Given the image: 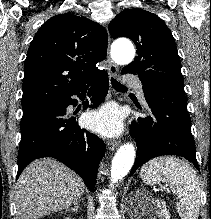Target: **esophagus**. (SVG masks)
Returning <instances> with one entry per match:
<instances>
[{"label": "esophagus", "mask_w": 211, "mask_h": 219, "mask_svg": "<svg viewBox=\"0 0 211 219\" xmlns=\"http://www.w3.org/2000/svg\"><path fill=\"white\" fill-rule=\"evenodd\" d=\"M109 41H110V38H109ZM108 50H109V45H108ZM107 61H108L109 75L112 77H116L118 75V66L111 60L110 55H109V51L107 52ZM118 145H119V141H108L107 142V149L109 151H113L118 147Z\"/></svg>", "instance_id": "34e87169"}]
</instances>
